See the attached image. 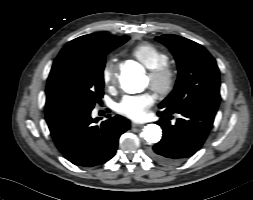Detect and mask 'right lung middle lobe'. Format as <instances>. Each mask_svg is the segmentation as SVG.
<instances>
[{
  "label": "right lung middle lobe",
  "mask_w": 253,
  "mask_h": 200,
  "mask_svg": "<svg viewBox=\"0 0 253 200\" xmlns=\"http://www.w3.org/2000/svg\"><path fill=\"white\" fill-rule=\"evenodd\" d=\"M128 39L116 36L96 50L62 49L48 77L45 112L92 110L103 97L105 56Z\"/></svg>",
  "instance_id": "dd1d6c3e"
}]
</instances>
